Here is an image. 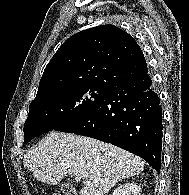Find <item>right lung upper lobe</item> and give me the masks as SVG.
I'll list each match as a JSON object with an SVG mask.
<instances>
[{
	"label": "right lung upper lobe",
	"mask_w": 189,
	"mask_h": 195,
	"mask_svg": "<svg viewBox=\"0 0 189 195\" xmlns=\"http://www.w3.org/2000/svg\"><path fill=\"white\" fill-rule=\"evenodd\" d=\"M134 38L114 25H101L67 39L46 66L36 95L73 87L113 88L146 72Z\"/></svg>",
	"instance_id": "obj_1"
}]
</instances>
